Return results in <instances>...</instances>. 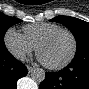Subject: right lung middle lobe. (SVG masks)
<instances>
[{
	"instance_id": "obj_1",
	"label": "right lung middle lobe",
	"mask_w": 89,
	"mask_h": 89,
	"mask_svg": "<svg viewBox=\"0 0 89 89\" xmlns=\"http://www.w3.org/2000/svg\"><path fill=\"white\" fill-rule=\"evenodd\" d=\"M21 22L20 19H16L14 17H9L4 15L3 13H0V50L5 49L4 45V35L5 32L10 28L12 25Z\"/></svg>"
}]
</instances>
